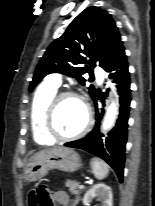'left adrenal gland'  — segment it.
<instances>
[{
	"label": "left adrenal gland",
	"instance_id": "left-adrenal-gland-1",
	"mask_svg": "<svg viewBox=\"0 0 155 206\" xmlns=\"http://www.w3.org/2000/svg\"><path fill=\"white\" fill-rule=\"evenodd\" d=\"M79 200H80V197L79 195H77L72 206H75L79 202Z\"/></svg>",
	"mask_w": 155,
	"mask_h": 206
}]
</instances>
